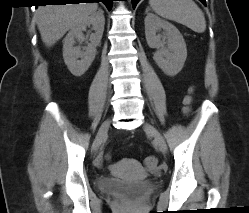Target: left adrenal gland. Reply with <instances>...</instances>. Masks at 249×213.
Returning a JSON list of instances; mask_svg holds the SVG:
<instances>
[{
	"instance_id": "left-adrenal-gland-1",
	"label": "left adrenal gland",
	"mask_w": 249,
	"mask_h": 213,
	"mask_svg": "<svg viewBox=\"0 0 249 213\" xmlns=\"http://www.w3.org/2000/svg\"><path fill=\"white\" fill-rule=\"evenodd\" d=\"M149 11V8L146 9V13Z\"/></svg>"
}]
</instances>
